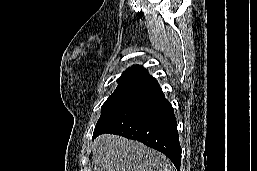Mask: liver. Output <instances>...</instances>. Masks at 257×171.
Returning a JSON list of instances; mask_svg holds the SVG:
<instances>
[{"instance_id": "1", "label": "liver", "mask_w": 257, "mask_h": 171, "mask_svg": "<svg viewBox=\"0 0 257 171\" xmlns=\"http://www.w3.org/2000/svg\"><path fill=\"white\" fill-rule=\"evenodd\" d=\"M94 171H176L162 153L141 142L105 134L92 146Z\"/></svg>"}]
</instances>
